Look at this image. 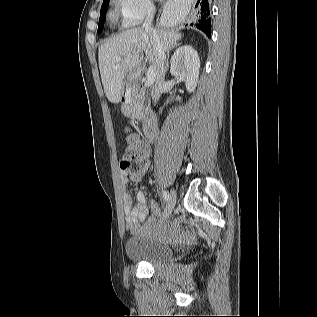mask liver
Listing matches in <instances>:
<instances>
[{
  "instance_id": "6515ba94",
  "label": "liver",
  "mask_w": 317,
  "mask_h": 317,
  "mask_svg": "<svg viewBox=\"0 0 317 317\" xmlns=\"http://www.w3.org/2000/svg\"><path fill=\"white\" fill-rule=\"evenodd\" d=\"M166 52L182 34L174 30H154ZM157 69V53L154 42L144 28L128 29L99 47L98 59L102 84L111 103H119L124 94V80L137 69L140 72L141 53Z\"/></svg>"
}]
</instances>
